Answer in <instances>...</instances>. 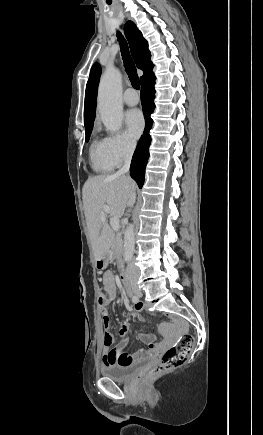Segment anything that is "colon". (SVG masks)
Wrapping results in <instances>:
<instances>
[{
  "label": "colon",
  "mask_w": 263,
  "mask_h": 435,
  "mask_svg": "<svg viewBox=\"0 0 263 435\" xmlns=\"http://www.w3.org/2000/svg\"><path fill=\"white\" fill-rule=\"evenodd\" d=\"M104 300V294L99 296V303ZM101 347L104 350H113L115 340L117 336L113 333L112 328H103L101 336ZM194 346V337L189 333H184L178 342V344L168 349L162 356L161 361L148 372H146L142 379L144 381H150L172 369H175L183 365Z\"/></svg>",
  "instance_id": "5ec220e1"
}]
</instances>
